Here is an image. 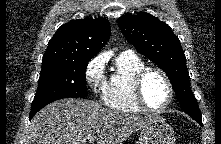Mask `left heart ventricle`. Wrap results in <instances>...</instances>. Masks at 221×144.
<instances>
[{"label":"left heart ventricle","mask_w":221,"mask_h":144,"mask_svg":"<svg viewBox=\"0 0 221 144\" xmlns=\"http://www.w3.org/2000/svg\"><path fill=\"white\" fill-rule=\"evenodd\" d=\"M144 97L150 107L158 108L162 106L168 98V87L163 77L151 72L147 75L144 86Z\"/></svg>","instance_id":"1"}]
</instances>
